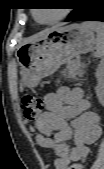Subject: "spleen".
I'll return each mask as SVG.
<instances>
[{"label": "spleen", "instance_id": "3e777b00", "mask_svg": "<svg viewBox=\"0 0 104 169\" xmlns=\"http://www.w3.org/2000/svg\"><path fill=\"white\" fill-rule=\"evenodd\" d=\"M87 27L94 30L97 33L96 52L95 57H102L104 51V27L101 23L87 22L84 23Z\"/></svg>", "mask_w": 104, "mask_h": 169}]
</instances>
